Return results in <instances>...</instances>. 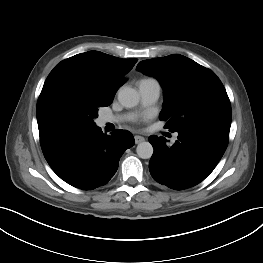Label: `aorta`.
<instances>
[{
	"label": "aorta",
	"instance_id": "obj_1",
	"mask_svg": "<svg viewBox=\"0 0 263 263\" xmlns=\"http://www.w3.org/2000/svg\"><path fill=\"white\" fill-rule=\"evenodd\" d=\"M118 101L126 108H132L139 102V94L130 87L120 88L118 91ZM153 146L149 142H141L137 145L136 152L142 159H149L153 155Z\"/></svg>",
	"mask_w": 263,
	"mask_h": 263
}]
</instances>
